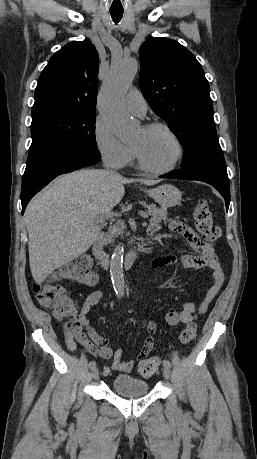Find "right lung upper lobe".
Returning <instances> with one entry per match:
<instances>
[{
  "instance_id": "obj_1",
  "label": "right lung upper lobe",
  "mask_w": 257,
  "mask_h": 459,
  "mask_svg": "<svg viewBox=\"0 0 257 459\" xmlns=\"http://www.w3.org/2000/svg\"><path fill=\"white\" fill-rule=\"evenodd\" d=\"M98 67V52L90 41H72L62 47L39 77L32 112L51 107L95 112Z\"/></svg>"
}]
</instances>
